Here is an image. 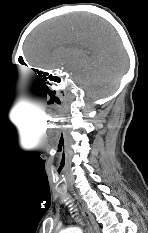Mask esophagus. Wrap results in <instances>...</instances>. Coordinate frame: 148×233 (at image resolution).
<instances>
[{"mask_svg":"<svg viewBox=\"0 0 148 233\" xmlns=\"http://www.w3.org/2000/svg\"><path fill=\"white\" fill-rule=\"evenodd\" d=\"M74 195H75L76 199L78 200V202L81 204L82 213L88 222L91 233H100L94 216L90 213V211L88 210V208L86 207L84 202H82L80 197L76 193H74Z\"/></svg>","mask_w":148,"mask_h":233,"instance_id":"34e87169","label":"esophagus"}]
</instances>
